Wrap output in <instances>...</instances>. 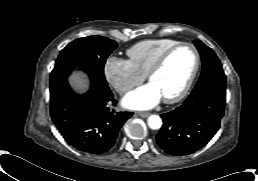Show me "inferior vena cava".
Wrapping results in <instances>:
<instances>
[{"label": "inferior vena cava", "mask_w": 258, "mask_h": 181, "mask_svg": "<svg viewBox=\"0 0 258 181\" xmlns=\"http://www.w3.org/2000/svg\"><path fill=\"white\" fill-rule=\"evenodd\" d=\"M128 90V88H126V87H122L121 89H120V91H122V92H125V91H127Z\"/></svg>", "instance_id": "obj_1"}]
</instances>
